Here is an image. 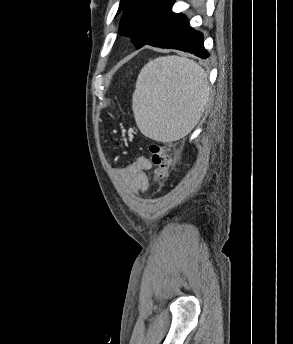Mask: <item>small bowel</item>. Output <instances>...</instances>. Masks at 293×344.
Here are the masks:
<instances>
[{"label": "small bowel", "mask_w": 293, "mask_h": 344, "mask_svg": "<svg viewBox=\"0 0 293 344\" xmlns=\"http://www.w3.org/2000/svg\"><path fill=\"white\" fill-rule=\"evenodd\" d=\"M150 168L151 163L144 156H139L126 167L122 171L121 176L127 189L136 194L145 192L148 184L146 171Z\"/></svg>", "instance_id": "obj_1"}]
</instances>
